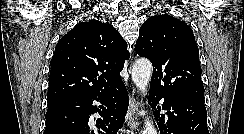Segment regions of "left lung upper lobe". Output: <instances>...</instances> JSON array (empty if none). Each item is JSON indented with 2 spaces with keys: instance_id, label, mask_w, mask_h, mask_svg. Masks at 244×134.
Listing matches in <instances>:
<instances>
[{
  "instance_id": "5c2ea615",
  "label": "left lung upper lobe",
  "mask_w": 244,
  "mask_h": 134,
  "mask_svg": "<svg viewBox=\"0 0 244 134\" xmlns=\"http://www.w3.org/2000/svg\"><path fill=\"white\" fill-rule=\"evenodd\" d=\"M135 49L152 62L151 87L204 102L199 49L185 22L166 14L150 17L140 28Z\"/></svg>"
}]
</instances>
